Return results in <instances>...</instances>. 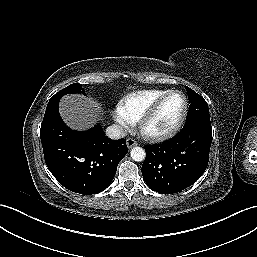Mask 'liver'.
Listing matches in <instances>:
<instances>
[{
    "instance_id": "liver-1",
    "label": "liver",
    "mask_w": 257,
    "mask_h": 257,
    "mask_svg": "<svg viewBox=\"0 0 257 257\" xmlns=\"http://www.w3.org/2000/svg\"><path fill=\"white\" fill-rule=\"evenodd\" d=\"M99 105L92 98L80 94L65 95L60 100L59 112L72 129L87 130L99 119Z\"/></svg>"
}]
</instances>
